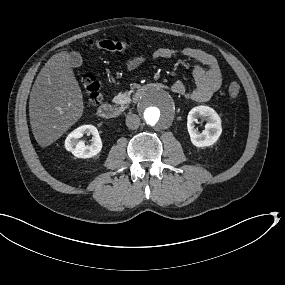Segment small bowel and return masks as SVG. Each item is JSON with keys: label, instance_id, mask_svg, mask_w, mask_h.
Segmentation results:
<instances>
[{"label": "small bowel", "instance_id": "small-bowel-1", "mask_svg": "<svg viewBox=\"0 0 285 285\" xmlns=\"http://www.w3.org/2000/svg\"><path fill=\"white\" fill-rule=\"evenodd\" d=\"M154 59H171L177 56L185 58L193 72L194 87L189 89L182 81L172 84L171 90L196 102L210 99L223 83L222 73L214 56L197 48L186 47L175 50L160 47L153 52ZM145 61L143 55H134L127 59L125 66L129 71L140 67Z\"/></svg>", "mask_w": 285, "mask_h": 285}]
</instances>
